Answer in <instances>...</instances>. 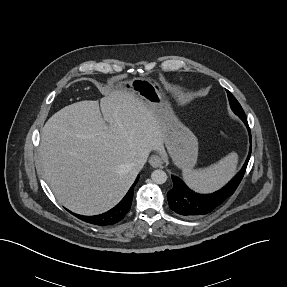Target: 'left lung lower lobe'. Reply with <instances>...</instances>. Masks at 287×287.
<instances>
[{
  "label": "left lung lower lobe",
  "mask_w": 287,
  "mask_h": 287,
  "mask_svg": "<svg viewBox=\"0 0 287 287\" xmlns=\"http://www.w3.org/2000/svg\"><path fill=\"white\" fill-rule=\"evenodd\" d=\"M248 127L250 138L251 132L246 116H239ZM251 154V148L246 162L239 173L222 189L211 194H198L189 189L178 177L172 176L173 187L167 193V199L171 210L182 217L197 218L211 213L223 202H225L240 184Z\"/></svg>",
  "instance_id": "obj_1"
}]
</instances>
